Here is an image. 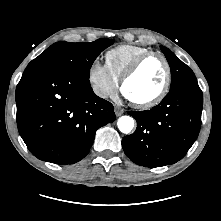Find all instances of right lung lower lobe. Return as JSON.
Masks as SVG:
<instances>
[{"label": "right lung lower lobe", "instance_id": "right-lung-lower-lobe-1", "mask_svg": "<svg viewBox=\"0 0 221 221\" xmlns=\"http://www.w3.org/2000/svg\"><path fill=\"white\" fill-rule=\"evenodd\" d=\"M17 125L40 160L73 164L84 158L100 127L116 119L112 104L89 78L51 68L25 70L16 88Z\"/></svg>", "mask_w": 221, "mask_h": 221}]
</instances>
